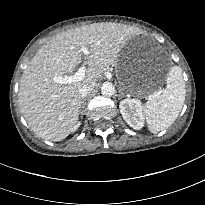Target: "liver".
<instances>
[{
	"mask_svg": "<svg viewBox=\"0 0 205 205\" xmlns=\"http://www.w3.org/2000/svg\"><path fill=\"white\" fill-rule=\"evenodd\" d=\"M133 35V28L126 25L94 23L62 32L44 44L23 71L19 87L20 109L32 131L54 142L65 139L79 118L80 88L96 82L106 67L115 65ZM82 47L89 49L88 55H83ZM83 57L89 68L81 81H53L70 75Z\"/></svg>",
	"mask_w": 205,
	"mask_h": 205,
	"instance_id": "obj_1",
	"label": "liver"
}]
</instances>
